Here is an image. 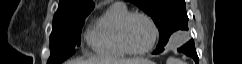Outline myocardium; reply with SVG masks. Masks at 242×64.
Masks as SVG:
<instances>
[{
  "label": "myocardium",
  "mask_w": 242,
  "mask_h": 64,
  "mask_svg": "<svg viewBox=\"0 0 242 64\" xmlns=\"http://www.w3.org/2000/svg\"><path fill=\"white\" fill-rule=\"evenodd\" d=\"M134 17L144 18L149 23V25L151 26V29H152V34H153L152 41L148 47H146L145 49H142V50L133 49L129 45L128 40H127V34H126L127 28H128L129 22ZM118 35H119L120 44L127 54L145 55V54L149 53L155 47L157 40H158L159 31H158V27H157L156 23L148 14H146L144 12L136 11V12H129L127 15L124 16V18L122 19L120 26H119Z\"/></svg>",
  "instance_id": "myocardium-1"
}]
</instances>
